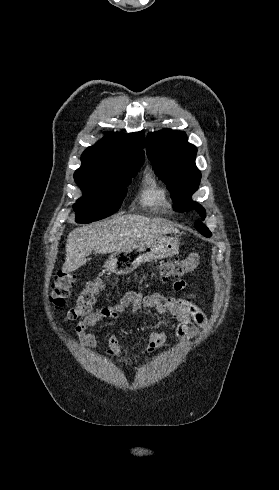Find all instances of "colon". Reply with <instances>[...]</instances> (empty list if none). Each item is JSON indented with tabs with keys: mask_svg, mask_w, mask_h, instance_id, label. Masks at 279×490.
I'll return each mask as SVG.
<instances>
[{
	"mask_svg": "<svg viewBox=\"0 0 279 490\" xmlns=\"http://www.w3.org/2000/svg\"><path fill=\"white\" fill-rule=\"evenodd\" d=\"M200 263V254L191 252L185 258L180 260H162L157 263L158 274L162 280L169 278H180L191 273ZM75 278L72 274L64 272L55 277L52 287L49 291V300L54 306H60L70 295ZM105 287L103 278H97L88 281L84 288L77 295L74 304L65 313L67 320H78L93 310L96 296H98Z\"/></svg>",
	"mask_w": 279,
	"mask_h": 490,
	"instance_id": "5ec220e1",
	"label": "colon"
}]
</instances>
